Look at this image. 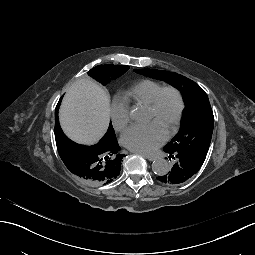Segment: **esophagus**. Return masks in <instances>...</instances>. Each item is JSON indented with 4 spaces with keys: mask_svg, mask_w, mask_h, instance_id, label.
<instances>
[{
    "mask_svg": "<svg viewBox=\"0 0 255 255\" xmlns=\"http://www.w3.org/2000/svg\"><path fill=\"white\" fill-rule=\"evenodd\" d=\"M133 153L138 154V155H142V156H144L146 159H148V160H150V161H154L155 159H157L156 156L147 155V154H145V153H143V152H140V151H133Z\"/></svg>",
    "mask_w": 255,
    "mask_h": 255,
    "instance_id": "esophagus-1",
    "label": "esophagus"
}]
</instances>
